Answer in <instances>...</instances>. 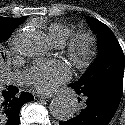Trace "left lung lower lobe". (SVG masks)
<instances>
[{"instance_id": "0a47b994", "label": "left lung lower lobe", "mask_w": 125, "mask_h": 125, "mask_svg": "<svg viewBox=\"0 0 125 125\" xmlns=\"http://www.w3.org/2000/svg\"><path fill=\"white\" fill-rule=\"evenodd\" d=\"M83 99L82 109L67 121L59 122V125H107L114 116L122 91L106 90L87 95H81ZM78 101H82L80 98Z\"/></svg>"}]
</instances>
